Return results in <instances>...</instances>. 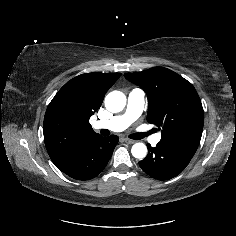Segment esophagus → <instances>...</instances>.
<instances>
[{
  "label": "esophagus",
  "instance_id": "esophagus-1",
  "mask_svg": "<svg viewBox=\"0 0 236 236\" xmlns=\"http://www.w3.org/2000/svg\"><path fill=\"white\" fill-rule=\"evenodd\" d=\"M123 141L127 144H134L135 143V140H131V139H128V138H123Z\"/></svg>",
  "mask_w": 236,
  "mask_h": 236
}]
</instances>
